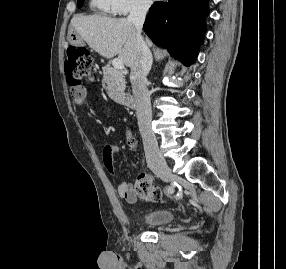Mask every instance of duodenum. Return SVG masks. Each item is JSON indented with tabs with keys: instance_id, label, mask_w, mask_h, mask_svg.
<instances>
[{
	"instance_id": "obj_1",
	"label": "duodenum",
	"mask_w": 286,
	"mask_h": 269,
	"mask_svg": "<svg viewBox=\"0 0 286 269\" xmlns=\"http://www.w3.org/2000/svg\"><path fill=\"white\" fill-rule=\"evenodd\" d=\"M121 103H122V105H124L127 108H130V109L136 108V102H135L134 97L129 96V95L123 96L121 98Z\"/></svg>"
}]
</instances>
